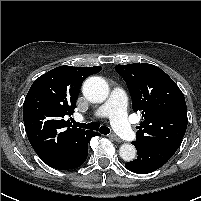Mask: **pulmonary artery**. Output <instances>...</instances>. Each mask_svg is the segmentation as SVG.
<instances>
[{"mask_svg": "<svg viewBox=\"0 0 201 201\" xmlns=\"http://www.w3.org/2000/svg\"><path fill=\"white\" fill-rule=\"evenodd\" d=\"M126 96L120 88H114L105 103L99 106L93 113L94 117H108L115 131L125 140L134 141L136 132L129 124L126 116ZM78 117V120H82Z\"/></svg>", "mask_w": 201, "mask_h": 201, "instance_id": "1", "label": "pulmonary artery"}]
</instances>
